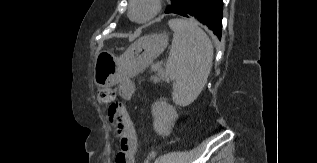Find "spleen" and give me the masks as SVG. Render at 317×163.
<instances>
[{
	"label": "spleen",
	"mask_w": 317,
	"mask_h": 163,
	"mask_svg": "<svg viewBox=\"0 0 317 163\" xmlns=\"http://www.w3.org/2000/svg\"><path fill=\"white\" fill-rule=\"evenodd\" d=\"M173 41L166 63V73L174 81L173 101L191 104L201 93L210 74L213 46L207 34L192 20L171 19Z\"/></svg>",
	"instance_id": "1"
}]
</instances>
